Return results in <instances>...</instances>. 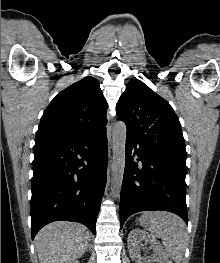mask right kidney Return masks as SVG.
I'll return each instance as SVG.
<instances>
[{"instance_id":"ca27d5eb","label":"right kidney","mask_w":220,"mask_h":263,"mask_svg":"<svg viewBox=\"0 0 220 263\" xmlns=\"http://www.w3.org/2000/svg\"><path fill=\"white\" fill-rule=\"evenodd\" d=\"M69 263H80V262L77 261V260H74V261H71V262H69Z\"/></svg>"}]
</instances>
